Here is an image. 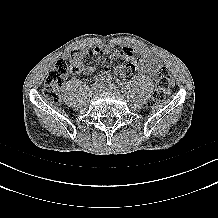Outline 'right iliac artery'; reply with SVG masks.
<instances>
[{
  "label": "right iliac artery",
  "instance_id": "1",
  "mask_svg": "<svg viewBox=\"0 0 218 218\" xmlns=\"http://www.w3.org/2000/svg\"><path fill=\"white\" fill-rule=\"evenodd\" d=\"M104 82V78H96L95 83L93 85L102 84Z\"/></svg>",
  "mask_w": 218,
  "mask_h": 218
}]
</instances>
